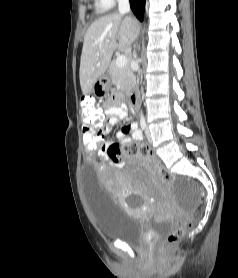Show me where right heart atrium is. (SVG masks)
I'll return each instance as SVG.
<instances>
[{"instance_id":"obj_1","label":"right heart atrium","mask_w":238,"mask_h":278,"mask_svg":"<svg viewBox=\"0 0 238 278\" xmlns=\"http://www.w3.org/2000/svg\"><path fill=\"white\" fill-rule=\"evenodd\" d=\"M105 1H107L111 6H113L115 2H117L118 0H105Z\"/></svg>"}]
</instances>
